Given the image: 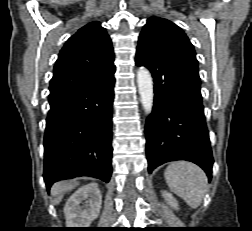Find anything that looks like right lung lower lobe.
I'll return each instance as SVG.
<instances>
[{
  "instance_id": "obj_1",
  "label": "right lung lower lobe",
  "mask_w": 252,
  "mask_h": 231,
  "mask_svg": "<svg viewBox=\"0 0 252 231\" xmlns=\"http://www.w3.org/2000/svg\"><path fill=\"white\" fill-rule=\"evenodd\" d=\"M114 84L113 74L50 103L43 173L48 191L56 181L78 176L109 182Z\"/></svg>"
}]
</instances>
